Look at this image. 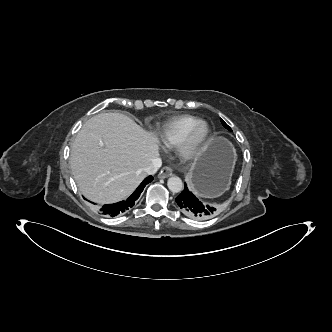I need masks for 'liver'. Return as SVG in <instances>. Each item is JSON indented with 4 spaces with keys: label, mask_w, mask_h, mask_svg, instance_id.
Listing matches in <instances>:
<instances>
[{
    "label": "liver",
    "mask_w": 332,
    "mask_h": 332,
    "mask_svg": "<svg viewBox=\"0 0 332 332\" xmlns=\"http://www.w3.org/2000/svg\"><path fill=\"white\" fill-rule=\"evenodd\" d=\"M159 155L158 138L121 113L90 118L71 147L70 165L81 193L99 204L126 199Z\"/></svg>",
    "instance_id": "liver-1"
}]
</instances>
